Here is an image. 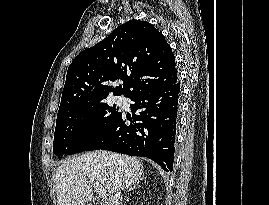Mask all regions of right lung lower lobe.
Returning a JSON list of instances; mask_svg holds the SVG:
<instances>
[{
	"mask_svg": "<svg viewBox=\"0 0 269 205\" xmlns=\"http://www.w3.org/2000/svg\"><path fill=\"white\" fill-rule=\"evenodd\" d=\"M180 83L149 89L130 99L133 121L124 114L85 151L104 149L147 157L163 170H173L174 143L179 112Z\"/></svg>",
	"mask_w": 269,
	"mask_h": 205,
	"instance_id": "obj_1",
	"label": "right lung lower lobe"
}]
</instances>
